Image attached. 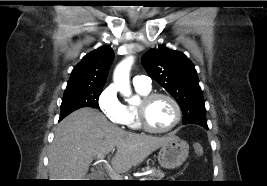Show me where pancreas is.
<instances>
[{"mask_svg": "<svg viewBox=\"0 0 267 186\" xmlns=\"http://www.w3.org/2000/svg\"><path fill=\"white\" fill-rule=\"evenodd\" d=\"M150 169L152 170V173L147 176L146 181H160L162 178H164L165 174L160 169L150 167L145 168V170Z\"/></svg>", "mask_w": 267, "mask_h": 186, "instance_id": "1", "label": "pancreas"}]
</instances>
